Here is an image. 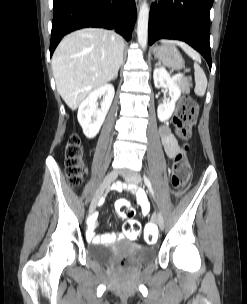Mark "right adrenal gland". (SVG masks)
<instances>
[{"instance_id":"2a0ac1e0","label":"right adrenal gland","mask_w":247,"mask_h":304,"mask_svg":"<svg viewBox=\"0 0 247 304\" xmlns=\"http://www.w3.org/2000/svg\"><path fill=\"white\" fill-rule=\"evenodd\" d=\"M122 63H123V61H122ZM117 78V75L114 77V79H116Z\"/></svg>"}]
</instances>
